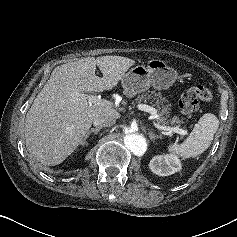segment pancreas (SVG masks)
<instances>
[{
  "mask_svg": "<svg viewBox=\"0 0 237 237\" xmlns=\"http://www.w3.org/2000/svg\"><path fill=\"white\" fill-rule=\"evenodd\" d=\"M135 101L136 102L149 101L150 103L155 101L153 105L156 106L158 109V113H159L158 121L162 125H166L169 122L180 123V119L177 116H174L172 119H168V117L170 116V112H169L170 108H169L168 100L162 97L160 92L157 93L155 91H151V92L142 94L138 96L135 99Z\"/></svg>",
  "mask_w": 237,
  "mask_h": 237,
  "instance_id": "cf45deb5",
  "label": "pancreas"
}]
</instances>
